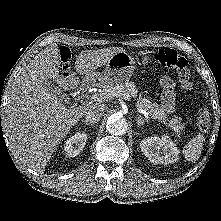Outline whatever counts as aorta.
<instances>
[{
  "label": "aorta",
  "mask_w": 221,
  "mask_h": 221,
  "mask_svg": "<svg viewBox=\"0 0 221 221\" xmlns=\"http://www.w3.org/2000/svg\"><path fill=\"white\" fill-rule=\"evenodd\" d=\"M107 131L115 136L126 133L128 125L124 118L118 114H113L107 119Z\"/></svg>",
  "instance_id": "aorta-1"
}]
</instances>
